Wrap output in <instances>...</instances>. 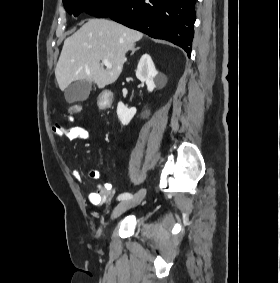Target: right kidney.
<instances>
[{
    "label": "right kidney",
    "mask_w": 280,
    "mask_h": 283,
    "mask_svg": "<svg viewBox=\"0 0 280 283\" xmlns=\"http://www.w3.org/2000/svg\"><path fill=\"white\" fill-rule=\"evenodd\" d=\"M136 77L147 85L149 92L166 81L164 75L159 74L148 54L142 55L136 70ZM136 114V108H127L122 102L118 103L117 115L122 125H128Z\"/></svg>",
    "instance_id": "right-kidney-1"
}]
</instances>
